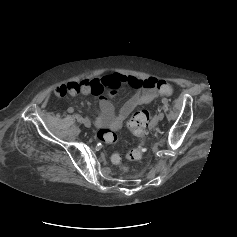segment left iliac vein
Instances as JSON below:
<instances>
[{
  "label": "left iliac vein",
  "mask_w": 237,
  "mask_h": 237,
  "mask_svg": "<svg viewBox=\"0 0 237 237\" xmlns=\"http://www.w3.org/2000/svg\"><path fill=\"white\" fill-rule=\"evenodd\" d=\"M163 118H164V113L163 112L159 113L157 120L161 121V120H163Z\"/></svg>",
  "instance_id": "4c4485c4"
}]
</instances>
